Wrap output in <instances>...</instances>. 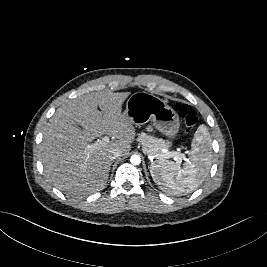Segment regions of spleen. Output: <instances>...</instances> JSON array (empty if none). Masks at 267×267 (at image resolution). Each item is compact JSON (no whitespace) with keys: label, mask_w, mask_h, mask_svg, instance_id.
Returning <instances> with one entry per match:
<instances>
[{"label":"spleen","mask_w":267,"mask_h":267,"mask_svg":"<svg viewBox=\"0 0 267 267\" xmlns=\"http://www.w3.org/2000/svg\"><path fill=\"white\" fill-rule=\"evenodd\" d=\"M212 159V143L205 125H200L191 143L189 158L181 168L178 162L157 161L150 173L159 188L172 195H182L196 189L208 175Z\"/></svg>","instance_id":"spleen-1"}]
</instances>
